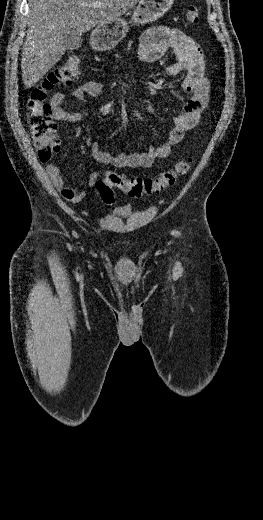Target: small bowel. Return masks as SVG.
I'll use <instances>...</instances> for the list:
<instances>
[{
    "instance_id": "1",
    "label": "small bowel",
    "mask_w": 263,
    "mask_h": 520,
    "mask_svg": "<svg viewBox=\"0 0 263 520\" xmlns=\"http://www.w3.org/2000/svg\"><path fill=\"white\" fill-rule=\"evenodd\" d=\"M169 51L176 56V62L166 68L169 76H176L185 71L186 76L182 86L189 99L181 112L173 119V129L167 140L158 146H149L144 152L133 154L111 155L103 150L97 142L90 146L93 158L106 165L117 168H149L156 159L170 155L173 146L180 143L185 133L194 128L209 101L210 82L205 76V65L200 46L189 36L176 28L158 26L147 29L140 40L137 57L142 62L161 60ZM103 91V85L96 81H87L75 87L71 95L84 102L87 96H98ZM66 95L56 93L50 99L53 118L59 121L77 123L82 120L79 112L68 111L64 108ZM46 171L61 196L69 202L78 203L85 197L83 190H77L65 184L60 168L55 163H48ZM99 180L97 173L89 178V185L93 186Z\"/></svg>"
}]
</instances>
